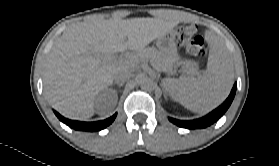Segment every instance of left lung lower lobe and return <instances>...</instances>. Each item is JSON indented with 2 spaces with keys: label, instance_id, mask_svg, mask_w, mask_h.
I'll list each match as a JSON object with an SVG mask.
<instances>
[{
  "label": "left lung lower lobe",
  "instance_id": "1",
  "mask_svg": "<svg viewBox=\"0 0 279 166\" xmlns=\"http://www.w3.org/2000/svg\"><path fill=\"white\" fill-rule=\"evenodd\" d=\"M237 84L235 83L229 97L225 100V102L219 106L217 109L209 113L203 118L192 120V121H181L173 118H169V120L176 124L179 127L187 128V129H196V128H205L216 122L222 115L226 112V110L231 105L233 98L236 93Z\"/></svg>",
  "mask_w": 279,
  "mask_h": 166
}]
</instances>
